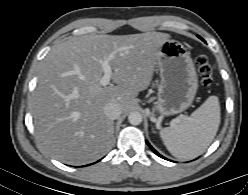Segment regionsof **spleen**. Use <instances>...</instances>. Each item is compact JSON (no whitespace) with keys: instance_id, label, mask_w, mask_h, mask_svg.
<instances>
[{"instance_id":"obj_1","label":"spleen","mask_w":248,"mask_h":195,"mask_svg":"<svg viewBox=\"0 0 248 195\" xmlns=\"http://www.w3.org/2000/svg\"><path fill=\"white\" fill-rule=\"evenodd\" d=\"M220 124L218 97L210 96L189 117L160 131L164 145L178 159H193L206 151Z\"/></svg>"}]
</instances>
